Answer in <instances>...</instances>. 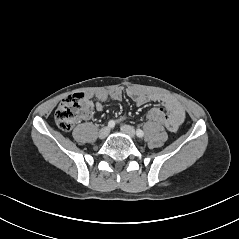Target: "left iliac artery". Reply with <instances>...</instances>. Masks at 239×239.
I'll use <instances>...</instances> for the list:
<instances>
[{"label": "left iliac artery", "mask_w": 239, "mask_h": 239, "mask_svg": "<svg viewBox=\"0 0 239 239\" xmlns=\"http://www.w3.org/2000/svg\"><path fill=\"white\" fill-rule=\"evenodd\" d=\"M136 134L138 137L142 138L144 136V132L141 129L136 130Z\"/></svg>", "instance_id": "left-iliac-artery-1"}]
</instances>
